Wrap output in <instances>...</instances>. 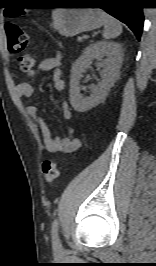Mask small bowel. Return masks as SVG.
<instances>
[{
	"label": "small bowel",
	"mask_w": 156,
	"mask_h": 266,
	"mask_svg": "<svg viewBox=\"0 0 156 266\" xmlns=\"http://www.w3.org/2000/svg\"><path fill=\"white\" fill-rule=\"evenodd\" d=\"M60 66L61 58L59 56L47 58L44 59L36 69L29 70L27 72V77H34L38 71H52L53 88L57 92H62L65 89V82L61 78ZM16 92L20 98H31L34 90L31 84L28 82H22L17 85ZM61 110L63 118L65 120H70L72 117V112L66 101L62 103ZM27 114L41 127L44 139L43 150L50 153L71 154L80 149L81 141L73 136L72 129H69L68 135L66 137L53 136L50 128L41 117L39 109L36 106H28Z\"/></svg>",
	"instance_id": "c3829d8e"
}]
</instances>
